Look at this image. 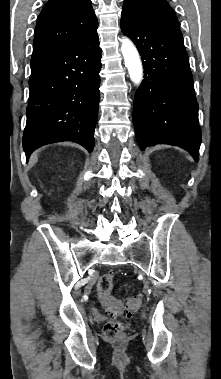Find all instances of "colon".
<instances>
[{
	"label": "colon",
	"instance_id": "1",
	"mask_svg": "<svg viewBox=\"0 0 221 379\" xmlns=\"http://www.w3.org/2000/svg\"><path fill=\"white\" fill-rule=\"evenodd\" d=\"M113 288V274H103L97 283L99 300L111 315L129 316L135 311L140 303V296H131L124 299H115L111 295ZM104 336L109 340H119L124 338L126 325L123 322L111 320L108 321L103 329Z\"/></svg>",
	"mask_w": 221,
	"mask_h": 379
}]
</instances>
